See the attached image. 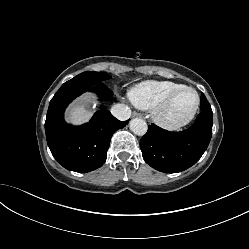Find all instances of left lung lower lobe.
Here are the masks:
<instances>
[{"label":"left lung lower lobe","instance_id":"1","mask_svg":"<svg viewBox=\"0 0 249 249\" xmlns=\"http://www.w3.org/2000/svg\"><path fill=\"white\" fill-rule=\"evenodd\" d=\"M208 101L201 94L200 105ZM212 110H203L194 124L181 132H169L155 124L148 126L140 140L143 159L154 169L165 173H177L194 165L207 149L213 125Z\"/></svg>","mask_w":249,"mask_h":249}]
</instances>
